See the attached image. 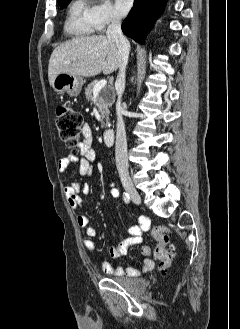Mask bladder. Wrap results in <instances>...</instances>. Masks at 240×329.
<instances>
[{"mask_svg": "<svg viewBox=\"0 0 240 329\" xmlns=\"http://www.w3.org/2000/svg\"><path fill=\"white\" fill-rule=\"evenodd\" d=\"M114 281L120 286L130 289L144 291L147 288V281L139 278L118 277Z\"/></svg>", "mask_w": 240, "mask_h": 329, "instance_id": "1", "label": "bladder"}]
</instances>
